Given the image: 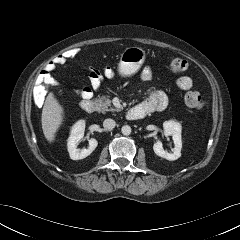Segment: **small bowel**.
<instances>
[{"label": "small bowel", "mask_w": 240, "mask_h": 240, "mask_svg": "<svg viewBox=\"0 0 240 240\" xmlns=\"http://www.w3.org/2000/svg\"><path fill=\"white\" fill-rule=\"evenodd\" d=\"M65 65L60 61L58 56L54 57L51 61H49L45 67L39 72L36 77L35 84L37 86L41 84H46L49 86H57L58 83L53 76L54 70L57 66ZM90 85L91 87H84L79 91V94L83 98L90 99L93 96V91H98L102 85L104 78H114L115 72L109 66H103L101 70L92 69L90 71ZM152 77V70L149 66H145L141 71V78L144 81L150 80ZM176 85L178 89L186 91L192 88L193 81L188 76L180 77ZM168 105V96L165 92L161 90H155L150 93V95L141 102L138 107L143 109L146 114L155 112V111H163Z\"/></svg>", "instance_id": "1"}]
</instances>
